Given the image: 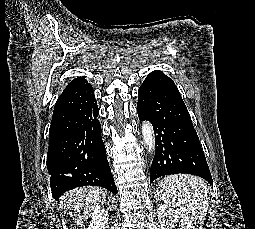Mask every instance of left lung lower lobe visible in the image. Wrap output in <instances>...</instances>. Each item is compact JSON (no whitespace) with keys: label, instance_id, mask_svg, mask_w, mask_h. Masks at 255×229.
<instances>
[{"label":"left lung lower lobe","instance_id":"obj_1","mask_svg":"<svg viewBox=\"0 0 255 229\" xmlns=\"http://www.w3.org/2000/svg\"><path fill=\"white\" fill-rule=\"evenodd\" d=\"M139 119L153 123L156 155L150 168V184L161 176L187 173L213 185L198 135L178 88L159 70L152 71L139 88Z\"/></svg>","mask_w":255,"mask_h":229}]
</instances>
